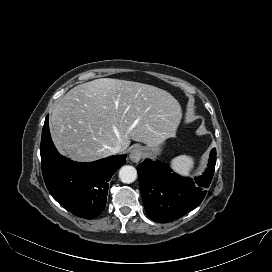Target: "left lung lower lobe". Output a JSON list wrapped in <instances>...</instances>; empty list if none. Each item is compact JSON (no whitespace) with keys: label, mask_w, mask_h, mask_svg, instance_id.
<instances>
[{"label":"left lung lower lobe","mask_w":272,"mask_h":272,"mask_svg":"<svg viewBox=\"0 0 272 272\" xmlns=\"http://www.w3.org/2000/svg\"><path fill=\"white\" fill-rule=\"evenodd\" d=\"M216 149L210 153L202 176L181 177L160 161L146 159L137 166L140 191L147 215L159 223L181 218L197 207L206 195L215 169Z\"/></svg>","instance_id":"1"}]
</instances>
